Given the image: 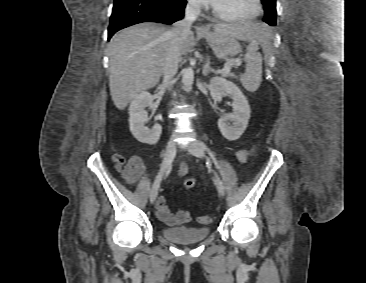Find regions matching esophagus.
Here are the masks:
<instances>
[{"mask_svg": "<svg viewBox=\"0 0 366 283\" xmlns=\"http://www.w3.org/2000/svg\"><path fill=\"white\" fill-rule=\"evenodd\" d=\"M199 30L206 32V31H208V28L203 25H200Z\"/></svg>", "mask_w": 366, "mask_h": 283, "instance_id": "1", "label": "esophagus"}]
</instances>
